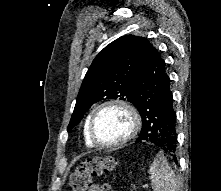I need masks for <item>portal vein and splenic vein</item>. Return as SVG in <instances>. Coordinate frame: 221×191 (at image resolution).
Returning a JSON list of instances; mask_svg holds the SVG:
<instances>
[{
	"label": "portal vein and splenic vein",
	"instance_id": "1",
	"mask_svg": "<svg viewBox=\"0 0 221 191\" xmlns=\"http://www.w3.org/2000/svg\"><path fill=\"white\" fill-rule=\"evenodd\" d=\"M143 188H148V185H147V184H144V185H143Z\"/></svg>",
	"mask_w": 221,
	"mask_h": 191
}]
</instances>
